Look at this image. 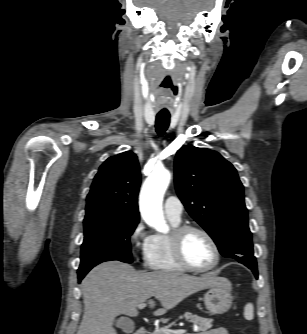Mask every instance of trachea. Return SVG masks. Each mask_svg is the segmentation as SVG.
I'll use <instances>...</instances> for the list:
<instances>
[{"label": "trachea", "mask_w": 307, "mask_h": 334, "mask_svg": "<svg viewBox=\"0 0 307 334\" xmlns=\"http://www.w3.org/2000/svg\"><path fill=\"white\" fill-rule=\"evenodd\" d=\"M170 116L158 114L156 116L155 127L158 135L163 136L169 126Z\"/></svg>", "instance_id": "trachea-1"}]
</instances>
